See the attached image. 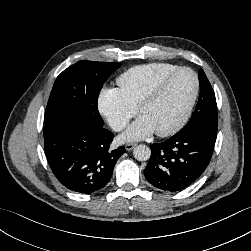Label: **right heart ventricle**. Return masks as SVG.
<instances>
[{
	"label": "right heart ventricle",
	"instance_id": "obj_1",
	"mask_svg": "<svg viewBox=\"0 0 251 251\" xmlns=\"http://www.w3.org/2000/svg\"><path fill=\"white\" fill-rule=\"evenodd\" d=\"M178 68L175 64L165 62L139 65L120 74L116 81L127 102L136 108L159 80Z\"/></svg>",
	"mask_w": 251,
	"mask_h": 251
}]
</instances>
